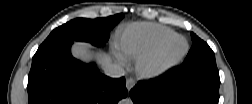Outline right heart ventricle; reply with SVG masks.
I'll return each mask as SVG.
<instances>
[{
	"label": "right heart ventricle",
	"mask_w": 252,
	"mask_h": 104,
	"mask_svg": "<svg viewBox=\"0 0 252 104\" xmlns=\"http://www.w3.org/2000/svg\"><path fill=\"white\" fill-rule=\"evenodd\" d=\"M173 35L175 32L172 29L159 24L134 23L119 36L116 48L125 59H137Z\"/></svg>",
	"instance_id": "right-heart-ventricle-1"
}]
</instances>
